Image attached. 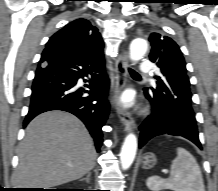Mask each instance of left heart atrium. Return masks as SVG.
Instances as JSON below:
<instances>
[{"label":"left heart atrium","mask_w":218,"mask_h":191,"mask_svg":"<svg viewBox=\"0 0 218 191\" xmlns=\"http://www.w3.org/2000/svg\"><path fill=\"white\" fill-rule=\"evenodd\" d=\"M120 101L125 105H130L133 102V96L130 92H125L121 95Z\"/></svg>","instance_id":"obj_1"}]
</instances>
